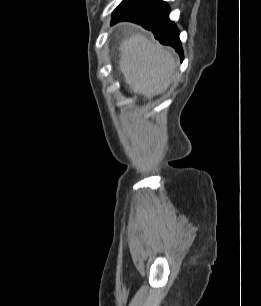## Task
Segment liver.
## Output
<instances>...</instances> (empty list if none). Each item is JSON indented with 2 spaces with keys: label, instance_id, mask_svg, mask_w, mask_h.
I'll return each instance as SVG.
<instances>
[{
  "label": "liver",
  "instance_id": "obj_1",
  "mask_svg": "<svg viewBox=\"0 0 261 306\" xmlns=\"http://www.w3.org/2000/svg\"><path fill=\"white\" fill-rule=\"evenodd\" d=\"M119 51L120 71L131 91L151 99L169 87L175 59L168 49L135 33L121 43Z\"/></svg>",
  "mask_w": 261,
  "mask_h": 306
}]
</instances>
